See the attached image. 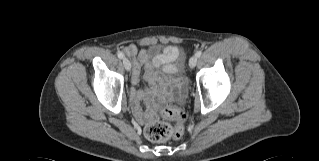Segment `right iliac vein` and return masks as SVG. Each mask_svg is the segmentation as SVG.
I'll list each match as a JSON object with an SVG mask.
<instances>
[{
  "instance_id": "1",
  "label": "right iliac vein",
  "mask_w": 319,
  "mask_h": 161,
  "mask_svg": "<svg viewBox=\"0 0 319 161\" xmlns=\"http://www.w3.org/2000/svg\"><path fill=\"white\" fill-rule=\"evenodd\" d=\"M123 65H124V67H125V69H126L127 71H130V69H131V62H130L127 58H124V59H123Z\"/></svg>"
}]
</instances>
